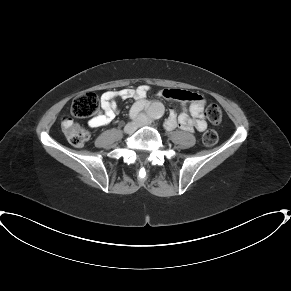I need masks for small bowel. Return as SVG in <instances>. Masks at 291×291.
Masks as SVG:
<instances>
[{
  "instance_id": "1",
  "label": "small bowel",
  "mask_w": 291,
  "mask_h": 291,
  "mask_svg": "<svg viewBox=\"0 0 291 291\" xmlns=\"http://www.w3.org/2000/svg\"><path fill=\"white\" fill-rule=\"evenodd\" d=\"M149 89V86L141 85L135 89H123L103 93L101 96L102 111L88 121L89 127L100 128L110 124L117 110V99L125 100L134 98L136 100L134 106L142 110L146 107L145 98ZM158 95L167 100L190 103L188 110L184 108L182 113L178 116L174 110L169 112L164 123L166 130L171 131L179 127L188 132H203L206 129L207 122L204 114L205 100L201 94L181 89L164 88L158 92Z\"/></svg>"
}]
</instances>
